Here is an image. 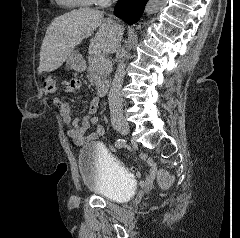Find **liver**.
Instances as JSON below:
<instances>
[{
  "instance_id": "1",
  "label": "liver",
  "mask_w": 240,
  "mask_h": 238,
  "mask_svg": "<svg viewBox=\"0 0 240 238\" xmlns=\"http://www.w3.org/2000/svg\"><path fill=\"white\" fill-rule=\"evenodd\" d=\"M89 51L115 53L120 48L124 28L94 9H77L56 17L47 28L40 50L38 74L57 70L73 53L75 46L90 37Z\"/></svg>"
}]
</instances>
